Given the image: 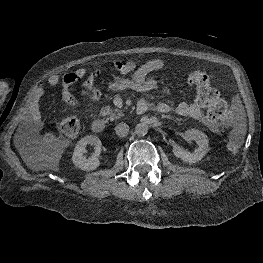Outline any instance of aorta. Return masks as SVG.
I'll return each mask as SVG.
<instances>
[{"label":"aorta","mask_w":263,"mask_h":263,"mask_svg":"<svg viewBox=\"0 0 263 263\" xmlns=\"http://www.w3.org/2000/svg\"><path fill=\"white\" fill-rule=\"evenodd\" d=\"M148 132V126L144 123H139L135 126V134L137 136H145Z\"/></svg>","instance_id":"1"}]
</instances>
